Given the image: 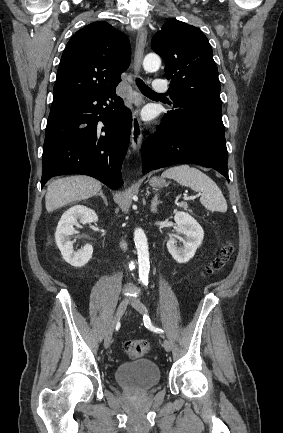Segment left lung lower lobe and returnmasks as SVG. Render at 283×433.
<instances>
[{"instance_id": "obj_1", "label": "left lung lower lobe", "mask_w": 283, "mask_h": 433, "mask_svg": "<svg viewBox=\"0 0 283 433\" xmlns=\"http://www.w3.org/2000/svg\"><path fill=\"white\" fill-rule=\"evenodd\" d=\"M224 132L197 120H172L164 115L158 132L142 145L143 173L175 164L210 167L229 181Z\"/></svg>"}]
</instances>
